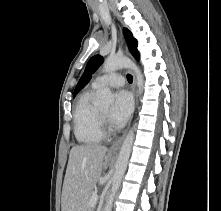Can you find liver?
Segmentation results:
<instances>
[{
  "mask_svg": "<svg viewBox=\"0 0 221 211\" xmlns=\"http://www.w3.org/2000/svg\"><path fill=\"white\" fill-rule=\"evenodd\" d=\"M107 148L98 144L75 146L69 154L62 189V211H84V202L107 168ZM105 158V162H104Z\"/></svg>",
  "mask_w": 221,
  "mask_h": 211,
  "instance_id": "6515ba94",
  "label": "liver"
}]
</instances>
